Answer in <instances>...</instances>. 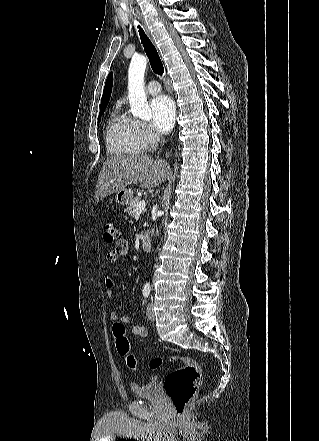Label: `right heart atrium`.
Listing matches in <instances>:
<instances>
[{
    "instance_id": "d8ad5b80",
    "label": "right heart atrium",
    "mask_w": 319,
    "mask_h": 441,
    "mask_svg": "<svg viewBox=\"0 0 319 441\" xmlns=\"http://www.w3.org/2000/svg\"><path fill=\"white\" fill-rule=\"evenodd\" d=\"M134 134L142 150L153 149L160 140V136L147 123L142 121L134 120Z\"/></svg>"
}]
</instances>
